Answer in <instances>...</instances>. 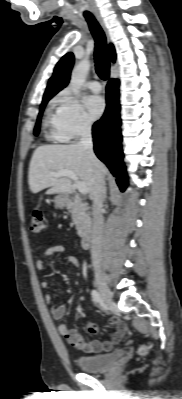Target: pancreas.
Instances as JSON below:
<instances>
[{"label": "pancreas", "instance_id": "cf45deb5", "mask_svg": "<svg viewBox=\"0 0 182 399\" xmlns=\"http://www.w3.org/2000/svg\"><path fill=\"white\" fill-rule=\"evenodd\" d=\"M71 216L80 237H85L91 225V219L87 212V205L81 200L76 201L71 207Z\"/></svg>", "mask_w": 182, "mask_h": 399}]
</instances>
